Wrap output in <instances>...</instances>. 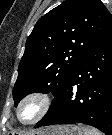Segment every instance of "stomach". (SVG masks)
I'll list each match as a JSON object with an SVG mask.
<instances>
[{
  "instance_id": "1",
  "label": "stomach",
  "mask_w": 112,
  "mask_h": 135,
  "mask_svg": "<svg viewBox=\"0 0 112 135\" xmlns=\"http://www.w3.org/2000/svg\"><path fill=\"white\" fill-rule=\"evenodd\" d=\"M14 135V133H11ZM27 135H83L80 127L75 125L56 126L45 130L42 134L40 132H33Z\"/></svg>"
}]
</instances>
